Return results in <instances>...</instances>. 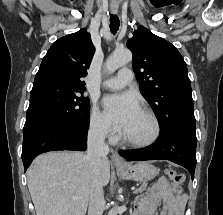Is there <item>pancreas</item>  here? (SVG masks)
I'll use <instances>...</instances> for the list:
<instances>
[{"instance_id": "obj_1", "label": "pancreas", "mask_w": 223, "mask_h": 215, "mask_svg": "<svg viewBox=\"0 0 223 215\" xmlns=\"http://www.w3.org/2000/svg\"><path fill=\"white\" fill-rule=\"evenodd\" d=\"M146 187H147V183H141L140 187H138V189H135V193H139V191H144Z\"/></svg>"}]
</instances>
